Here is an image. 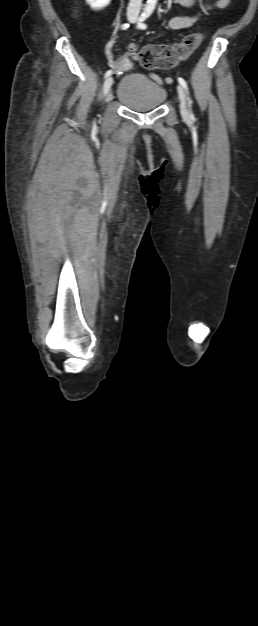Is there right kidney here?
I'll use <instances>...</instances> for the list:
<instances>
[{"label":"right kidney","mask_w":258,"mask_h":626,"mask_svg":"<svg viewBox=\"0 0 258 626\" xmlns=\"http://www.w3.org/2000/svg\"><path fill=\"white\" fill-rule=\"evenodd\" d=\"M86 2L94 11H99L108 6L111 0H86Z\"/></svg>","instance_id":"ca27d5eb"}]
</instances>
